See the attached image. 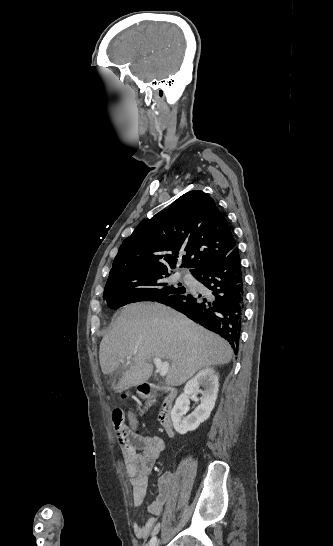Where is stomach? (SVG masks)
Returning <instances> with one entry per match:
<instances>
[{"label":"stomach","instance_id":"obj_1","mask_svg":"<svg viewBox=\"0 0 333 546\" xmlns=\"http://www.w3.org/2000/svg\"><path fill=\"white\" fill-rule=\"evenodd\" d=\"M140 396H143V394L141 392H138Z\"/></svg>","mask_w":333,"mask_h":546}]
</instances>
